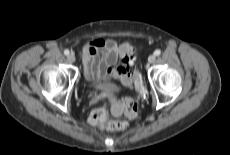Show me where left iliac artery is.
Returning <instances> with one entry per match:
<instances>
[{
    "instance_id": "1",
    "label": "left iliac artery",
    "mask_w": 230,
    "mask_h": 155,
    "mask_svg": "<svg viewBox=\"0 0 230 155\" xmlns=\"http://www.w3.org/2000/svg\"><path fill=\"white\" fill-rule=\"evenodd\" d=\"M154 54H155L156 56H159V55L161 54V51H160L159 49H157V50H155Z\"/></svg>"
}]
</instances>
